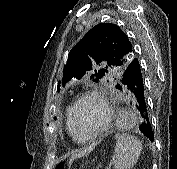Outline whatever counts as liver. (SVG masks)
I'll return each instance as SVG.
<instances>
[{
  "instance_id": "1",
  "label": "liver",
  "mask_w": 177,
  "mask_h": 169,
  "mask_svg": "<svg viewBox=\"0 0 177 169\" xmlns=\"http://www.w3.org/2000/svg\"><path fill=\"white\" fill-rule=\"evenodd\" d=\"M80 155H81V154H75V155H73L72 158H71V160H70V164L72 163V161H73L74 158H77V157H79Z\"/></svg>"
}]
</instances>
